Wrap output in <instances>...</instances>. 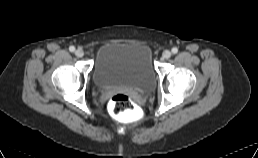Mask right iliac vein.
<instances>
[{
  "mask_svg": "<svg viewBox=\"0 0 258 158\" xmlns=\"http://www.w3.org/2000/svg\"><path fill=\"white\" fill-rule=\"evenodd\" d=\"M75 55L79 58L83 57L84 56V51L82 49H77L75 51Z\"/></svg>",
  "mask_w": 258,
  "mask_h": 158,
  "instance_id": "63e3f726",
  "label": "right iliac vein"
}]
</instances>
